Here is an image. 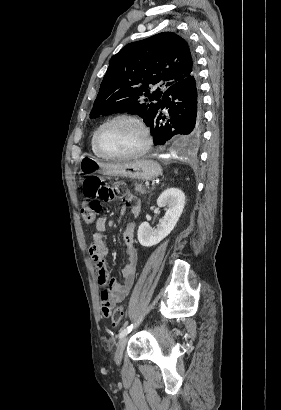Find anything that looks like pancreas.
<instances>
[{
    "mask_svg": "<svg viewBox=\"0 0 281 410\" xmlns=\"http://www.w3.org/2000/svg\"><path fill=\"white\" fill-rule=\"evenodd\" d=\"M135 192L139 193V194H146L148 192H150L149 190H147L142 183H135Z\"/></svg>",
    "mask_w": 281,
    "mask_h": 410,
    "instance_id": "pancreas-1",
    "label": "pancreas"
}]
</instances>
